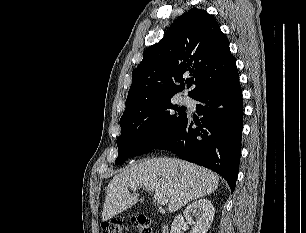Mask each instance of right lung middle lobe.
<instances>
[{"label":"right lung middle lobe","mask_w":306,"mask_h":233,"mask_svg":"<svg viewBox=\"0 0 306 233\" xmlns=\"http://www.w3.org/2000/svg\"><path fill=\"white\" fill-rule=\"evenodd\" d=\"M186 118L185 110L173 105L170 99L122 116V132L117 139L119 154L115 164L155 149L173 135Z\"/></svg>","instance_id":"1"}]
</instances>
